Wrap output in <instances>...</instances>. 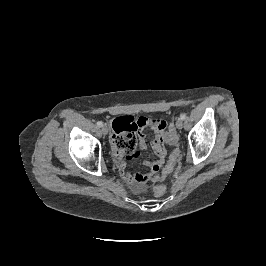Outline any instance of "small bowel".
<instances>
[{
  "label": "small bowel",
  "mask_w": 266,
  "mask_h": 266,
  "mask_svg": "<svg viewBox=\"0 0 266 266\" xmlns=\"http://www.w3.org/2000/svg\"><path fill=\"white\" fill-rule=\"evenodd\" d=\"M147 127L153 128L156 132V138L152 143L156 159L147 163L148 173L131 174L128 171V164L140 156L138 149L146 147L143 130ZM111 128V142L118 161L120 175L133 191L141 192L145 187V181L151 178L164 164L167 154L165 143H170L167 124L158 118H134L125 115L113 118Z\"/></svg>",
  "instance_id": "small-bowel-1"
}]
</instances>
